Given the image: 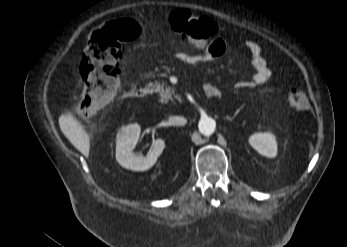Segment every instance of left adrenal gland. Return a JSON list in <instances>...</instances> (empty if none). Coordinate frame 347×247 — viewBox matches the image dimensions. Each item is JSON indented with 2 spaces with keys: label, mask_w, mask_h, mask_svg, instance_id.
I'll return each instance as SVG.
<instances>
[{
  "label": "left adrenal gland",
  "mask_w": 347,
  "mask_h": 247,
  "mask_svg": "<svg viewBox=\"0 0 347 247\" xmlns=\"http://www.w3.org/2000/svg\"><path fill=\"white\" fill-rule=\"evenodd\" d=\"M237 114H238V111H237V112H235L234 116H233L232 118H230L229 120H230V121H233V120H234V118L237 116Z\"/></svg>",
  "instance_id": "1"
}]
</instances>
